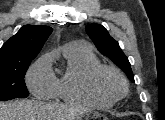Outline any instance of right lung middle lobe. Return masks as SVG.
<instances>
[{
    "instance_id": "dd1d6c3e",
    "label": "right lung middle lobe",
    "mask_w": 165,
    "mask_h": 120,
    "mask_svg": "<svg viewBox=\"0 0 165 120\" xmlns=\"http://www.w3.org/2000/svg\"><path fill=\"white\" fill-rule=\"evenodd\" d=\"M32 60L0 62V100L24 98L29 95L24 76Z\"/></svg>"
}]
</instances>
